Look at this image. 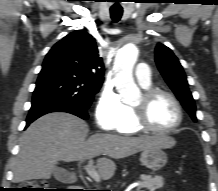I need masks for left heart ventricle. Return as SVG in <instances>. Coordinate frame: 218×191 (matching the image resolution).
I'll list each match as a JSON object with an SVG mask.
<instances>
[{
    "label": "left heart ventricle",
    "mask_w": 218,
    "mask_h": 191,
    "mask_svg": "<svg viewBox=\"0 0 218 191\" xmlns=\"http://www.w3.org/2000/svg\"><path fill=\"white\" fill-rule=\"evenodd\" d=\"M142 101L143 97L141 96L134 105L138 106ZM148 116L152 125L160 129L172 127L178 119L174 104L164 96H159L152 101L148 109Z\"/></svg>",
    "instance_id": "left-heart-ventricle-1"
}]
</instances>
